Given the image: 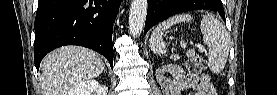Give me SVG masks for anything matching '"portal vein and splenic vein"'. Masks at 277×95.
I'll list each match as a JSON object with an SVG mask.
<instances>
[{
	"mask_svg": "<svg viewBox=\"0 0 277 95\" xmlns=\"http://www.w3.org/2000/svg\"><path fill=\"white\" fill-rule=\"evenodd\" d=\"M180 46H181L182 48H186V44L183 43V42L180 43Z\"/></svg>",
	"mask_w": 277,
	"mask_h": 95,
	"instance_id": "obj_1",
	"label": "portal vein and splenic vein"
}]
</instances>
